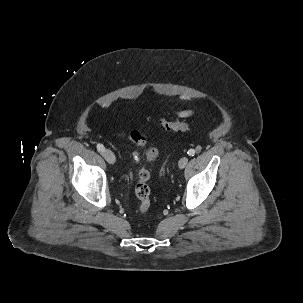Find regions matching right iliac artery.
Here are the masks:
<instances>
[{"label":"right iliac artery","mask_w":303,"mask_h":303,"mask_svg":"<svg viewBox=\"0 0 303 303\" xmlns=\"http://www.w3.org/2000/svg\"><path fill=\"white\" fill-rule=\"evenodd\" d=\"M97 150L99 152H103L105 150V147L102 144H97Z\"/></svg>","instance_id":"obj_1"}]
</instances>
